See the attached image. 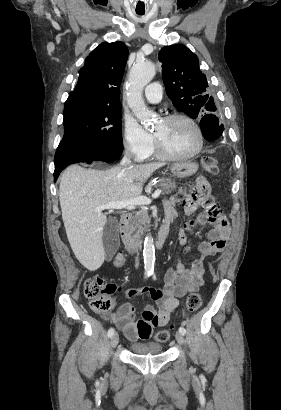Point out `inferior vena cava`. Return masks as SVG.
Here are the masks:
<instances>
[{
  "mask_svg": "<svg viewBox=\"0 0 281 410\" xmlns=\"http://www.w3.org/2000/svg\"><path fill=\"white\" fill-rule=\"evenodd\" d=\"M130 164H131V159H130V157L127 156V155H125V156L123 157V159L121 160L120 165H122V166H124V167H127V166H129Z\"/></svg>",
  "mask_w": 281,
  "mask_h": 410,
  "instance_id": "602c4592",
  "label": "inferior vena cava"
}]
</instances>
